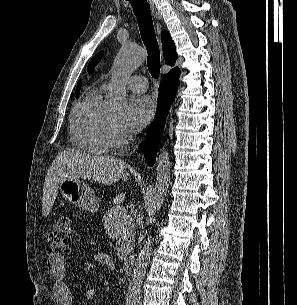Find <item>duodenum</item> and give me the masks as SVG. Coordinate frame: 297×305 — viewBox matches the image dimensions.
<instances>
[{
	"mask_svg": "<svg viewBox=\"0 0 297 305\" xmlns=\"http://www.w3.org/2000/svg\"><path fill=\"white\" fill-rule=\"evenodd\" d=\"M133 256L132 255H128L126 257L123 258V270L126 274H130L132 272V268H133Z\"/></svg>",
	"mask_w": 297,
	"mask_h": 305,
	"instance_id": "obj_1",
	"label": "duodenum"
}]
</instances>
